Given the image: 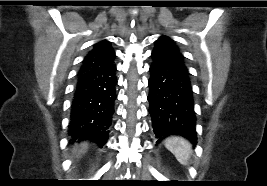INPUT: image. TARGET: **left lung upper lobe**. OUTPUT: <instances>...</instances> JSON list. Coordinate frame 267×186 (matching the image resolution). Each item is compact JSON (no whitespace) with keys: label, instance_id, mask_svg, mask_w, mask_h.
Here are the masks:
<instances>
[{"label":"left lung upper lobe","instance_id":"5c2ea615","mask_svg":"<svg viewBox=\"0 0 267 186\" xmlns=\"http://www.w3.org/2000/svg\"><path fill=\"white\" fill-rule=\"evenodd\" d=\"M152 54H155L163 60L187 70L184 62V56L181 54L174 41L166 36H161L156 41Z\"/></svg>","mask_w":267,"mask_h":186}]
</instances>
